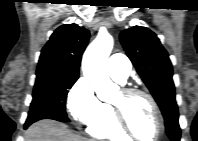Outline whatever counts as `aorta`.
<instances>
[{"label": "aorta", "instance_id": "1", "mask_svg": "<svg viewBox=\"0 0 198 141\" xmlns=\"http://www.w3.org/2000/svg\"><path fill=\"white\" fill-rule=\"evenodd\" d=\"M114 40L106 32L99 33L87 47L82 60V69L89 85L101 101H111L118 91L107 74V59L113 49Z\"/></svg>", "mask_w": 198, "mask_h": 141}]
</instances>
